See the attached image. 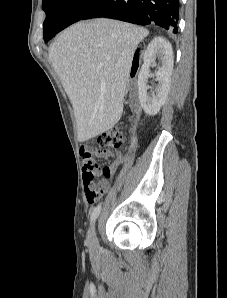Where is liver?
I'll return each mask as SVG.
<instances>
[{
  "label": "liver",
  "instance_id": "liver-1",
  "mask_svg": "<svg viewBox=\"0 0 227 298\" xmlns=\"http://www.w3.org/2000/svg\"><path fill=\"white\" fill-rule=\"evenodd\" d=\"M147 35L142 27L98 18L68 27L51 45L49 59L72 103L78 141L120 120L133 56Z\"/></svg>",
  "mask_w": 227,
  "mask_h": 298
}]
</instances>
